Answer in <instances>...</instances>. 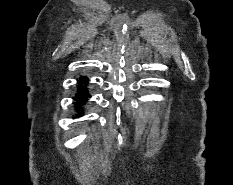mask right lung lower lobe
<instances>
[{
	"label": "right lung lower lobe",
	"mask_w": 233,
	"mask_h": 185,
	"mask_svg": "<svg viewBox=\"0 0 233 185\" xmlns=\"http://www.w3.org/2000/svg\"><path fill=\"white\" fill-rule=\"evenodd\" d=\"M82 83H83V86H82ZM87 84H88V78L80 77V80L78 82V92L75 97L77 102L75 103V105H79V106L82 105L83 103L87 101V98L90 97V95L87 93V90H86ZM76 109H78V107H76Z\"/></svg>",
	"instance_id": "right-lung-lower-lobe-1"
}]
</instances>
